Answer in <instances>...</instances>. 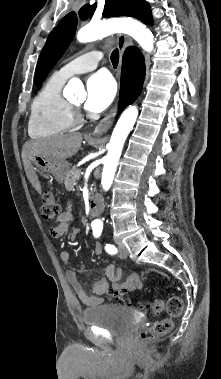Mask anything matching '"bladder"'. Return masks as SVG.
Wrapping results in <instances>:
<instances>
[{"mask_svg":"<svg viewBox=\"0 0 221 379\" xmlns=\"http://www.w3.org/2000/svg\"><path fill=\"white\" fill-rule=\"evenodd\" d=\"M86 324L102 327L112 335L127 336L137 326L139 319L133 309L116 304H102L83 311Z\"/></svg>","mask_w":221,"mask_h":379,"instance_id":"31cf9c89","label":"bladder"}]
</instances>
